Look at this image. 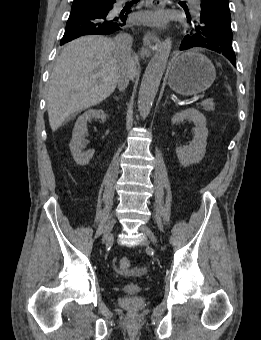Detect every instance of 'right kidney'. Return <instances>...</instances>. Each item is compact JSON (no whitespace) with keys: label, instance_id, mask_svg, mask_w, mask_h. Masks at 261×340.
Listing matches in <instances>:
<instances>
[{"label":"right kidney","instance_id":"right-kidney-1","mask_svg":"<svg viewBox=\"0 0 261 340\" xmlns=\"http://www.w3.org/2000/svg\"><path fill=\"white\" fill-rule=\"evenodd\" d=\"M92 118H100L102 121L106 120V114L103 110L90 109L83 113L76 121L72 139L69 144L70 151L76 164L80 166L87 165L94 155L95 150H88L82 152V143L84 142V136L87 133V122Z\"/></svg>","mask_w":261,"mask_h":340}]
</instances>
